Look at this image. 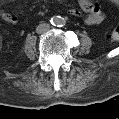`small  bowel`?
Wrapping results in <instances>:
<instances>
[{
    "label": "small bowel",
    "instance_id": "obj_1",
    "mask_svg": "<svg viewBox=\"0 0 119 119\" xmlns=\"http://www.w3.org/2000/svg\"><path fill=\"white\" fill-rule=\"evenodd\" d=\"M78 4L80 9L87 13L85 18V23L87 25H98L103 21L104 16L100 6L97 3L91 2L89 0H79ZM69 13L71 15H78L79 11L76 9H71ZM1 18L8 24H16L18 21L15 15L7 11L1 12Z\"/></svg>",
    "mask_w": 119,
    "mask_h": 119
}]
</instances>
